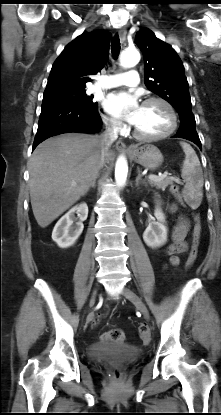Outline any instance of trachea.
Wrapping results in <instances>:
<instances>
[{
  "label": "trachea",
  "instance_id": "3493384b",
  "mask_svg": "<svg viewBox=\"0 0 221 415\" xmlns=\"http://www.w3.org/2000/svg\"><path fill=\"white\" fill-rule=\"evenodd\" d=\"M120 52V39L119 36L116 34L111 41V53L114 58H117Z\"/></svg>",
  "mask_w": 221,
  "mask_h": 415
}]
</instances>
